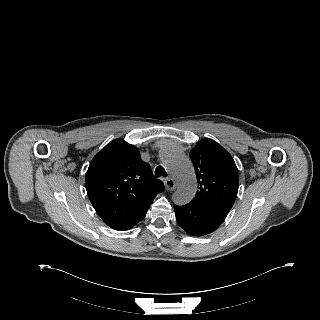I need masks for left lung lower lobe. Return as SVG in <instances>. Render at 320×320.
<instances>
[{"mask_svg":"<svg viewBox=\"0 0 320 320\" xmlns=\"http://www.w3.org/2000/svg\"><path fill=\"white\" fill-rule=\"evenodd\" d=\"M178 224L193 236H203L216 230L228 212L198 202L174 206Z\"/></svg>","mask_w":320,"mask_h":320,"instance_id":"0a47b994","label":"left lung lower lobe"}]
</instances>
